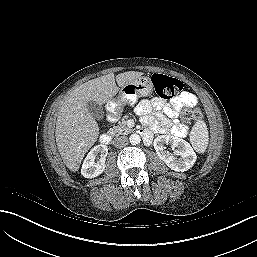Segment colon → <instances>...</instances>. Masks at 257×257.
<instances>
[{
	"instance_id": "1",
	"label": "colon",
	"mask_w": 257,
	"mask_h": 257,
	"mask_svg": "<svg viewBox=\"0 0 257 257\" xmlns=\"http://www.w3.org/2000/svg\"><path fill=\"white\" fill-rule=\"evenodd\" d=\"M152 83L156 94L162 99L176 96L183 88L180 80L164 74H154ZM181 117L185 122L195 121L201 117V111L198 108H185L181 113Z\"/></svg>"
}]
</instances>
